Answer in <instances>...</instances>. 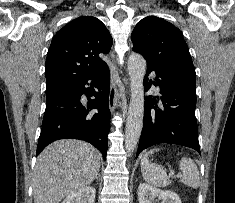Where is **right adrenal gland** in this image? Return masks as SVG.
Instances as JSON below:
<instances>
[{"label": "right adrenal gland", "instance_id": "1", "mask_svg": "<svg viewBox=\"0 0 235 203\" xmlns=\"http://www.w3.org/2000/svg\"><path fill=\"white\" fill-rule=\"evenodd\" d=\"M99 178H100V175L98 174L97 177H96V180H99Z\"/></svg>", "mask_w": 235, "mask_h": 203}]
</instances>
